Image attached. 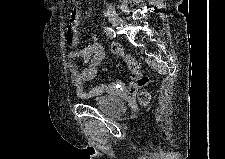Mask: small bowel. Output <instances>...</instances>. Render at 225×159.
<instances>
[{
    "label": "small bowel",
    "mask_w": 225,
    "mask_h": 159,
    "mask_svg": "<svg viewBox=\"0 0 225 159\" xmlns=\"http://www.w3.org/2000/svg\"><path fill=\"white\" fill-rule=\"evenodd\" d=\"M80 17V9L76 6L73 8L70 14L69 24L65 32V40L70 48L68 58L71 81L77 89V94L81 97H84L87 94L84 89V85L97 75L98 65L102 57V50L96 35H93L91 41L88 42L83 49H78ZM111 49L118 55H120V52L123 50L122 47L117 43H112ZM76 58H81L82 63L87 66L83 69H79L78 65L74 62V59ZM147 83V78H145L143 81L137 79L135 84H130L125 89L119 82L109 83L97 87L93 90V92L115 93L126 90L128 93H132Z\"/></svg>",
    "instance_id": "1"
}]
</instances>
